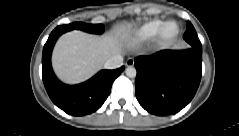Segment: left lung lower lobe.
I'll use <instances>...</instances> for the list:
<instances>
[{
	"label": "left lung lower lobe",
	"instance_id": "left-lung-lower-lobe-1",
	"mask_svg": "<svg viewBox=\"0 0 239 136\" xmlns=\"http://www.w3.org/2000/svg\"><path fill=\"white\" fill-rule=\"evenodd\" d=\"M136 98L149 113L179 112L194 97L202 75V50H162L135 58Z\"/></svg>",
	"mask_w": 239,
	"mask_h": 136
}]
</instances>
